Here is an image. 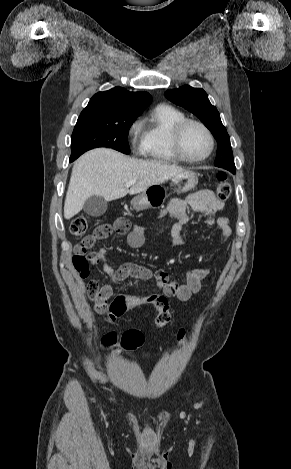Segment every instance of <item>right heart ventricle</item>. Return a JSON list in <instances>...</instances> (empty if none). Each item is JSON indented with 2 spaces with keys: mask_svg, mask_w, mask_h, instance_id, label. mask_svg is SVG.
I'll list each match as a JSON object with an SVG mask.
<instances>
[{
  "mask_svg": "<svg viewBox=\"0 0 291 469\" xmlns=\"http://www.w3.org/2000/svg\"><path fill=\"white\" fill-rule=\"evenodd\" d=\"M185 118V114L175 107L166 104L156 106L143 122L142 155L156 162H178L171 145V133L173 127Z\"/></svg>",
  "mask_w": 291,
  "mask_h": 469,
  "instance_id": "e07e8e85",
  "label": "right heart ventricle"
}]
</instances>
